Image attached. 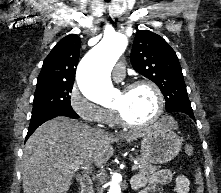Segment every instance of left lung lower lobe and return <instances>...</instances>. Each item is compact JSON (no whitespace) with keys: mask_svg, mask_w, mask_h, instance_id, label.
Masks as SVG:
<instances>
[{"mask_svg":"<svg viewBox=\"0 0 221 193\" xmlns=\"http://www.w3.org/2000/svg\"><path fill=\"white\" fill-rule=\"evenodd\" d=\"M167 112H181V113H185V114L189 115L193 120H195V117L193 115V110H192V108H189V107L175 108V109H172V110L167 111Z\"/></svg>","mask_w":221,"mask_h":193,"instance_id":"0a47b994","label":"left lung lower lobe"}]
</instances>
